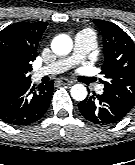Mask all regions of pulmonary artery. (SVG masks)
Instances as JSON below:
<instances>
[{"instance_id": "e3ab8cb5", "label": "pulmonary artery", "mask_w": 135, "mask_h": 165, "mask_svg": "<svg viewBox=\"0 0 135 165\" xmlns=\"http://www.w3.org/2000/svg\"><path fill=\"white\" fill-rule=\"evenodd\" d=\"M93 48V37L90 32L83 31L76 35L74 50L68 57L57 60L56 62L40 68L35 76L40 77L46 74H57L69 70L70 68L82 63ZM102 93L103 88H97Z\"/></svg>"}]
</instances>
